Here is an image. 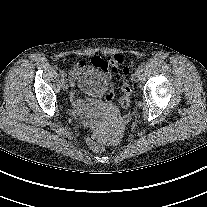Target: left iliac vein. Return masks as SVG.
<instances>
[{"instance_id":"4c4485c4","label":"left iliac vein","mask_w":207,"mask_h":207,"mask_svg":"<svg viewBox=\"0 0 207 207\" xmlns=\"http://www.w3.org/2000/svg\"><path fill=\"white\" fill-rule=\"evenodd\" d=\"M139 79H140V72L137 70V71H135V72L133 73V75H132V80H133L134 82H138Z\"/></svg>"}]
</instances>
